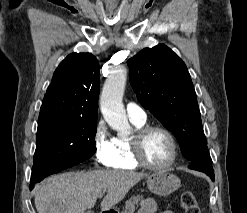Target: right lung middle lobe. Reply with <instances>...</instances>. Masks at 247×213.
<instances>
[{
	"instance_id": "obj_1",
	"label": "right lung middle lobe",
	"mask_w": 247,
	"mask_h": 213,
	"mask_svg": "<svg viewBox=\"0 0 247 213\" xmlns=\"http://www.w3.org/2000/svg\"><path fill=\"white\" fill-rule=\"evenodd\" d=\"M96 121L47 119L38 121L37 147L30 181L89 159L96 151Z\"/></svg>"
}]
</instances>
